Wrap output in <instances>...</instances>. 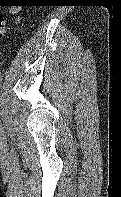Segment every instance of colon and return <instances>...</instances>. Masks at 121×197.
I'll list each match as a JSON object with an SVG mask.
<instances>
[{
    "label": "colon",
    "mask_w": 121,
    "mask_h": 197,
    "mask_svg": "<svg viewBox=\"0 0 121 197\" xmlns=\"http://www.w3.org/2000/svg\"><path fill=\"white\" fill-rule=\"evenodd\" d=\"M6 31V18L4 14L0 13V39L4 36Z\"/></svg>",
    "instance_id": "5ec220e1"
}]
</instances>
